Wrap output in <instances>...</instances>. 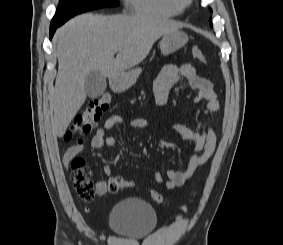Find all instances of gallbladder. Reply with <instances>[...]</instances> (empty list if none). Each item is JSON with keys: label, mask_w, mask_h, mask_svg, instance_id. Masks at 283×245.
Segmentation results:
<instances>
[{"label": "gallbladder", "mask_w": 283, "mask_h": 245, "mask_svg": "<svg viewBox=\"0 0 283 245\" xmlns=\"http://www.w3.org/2000/svg\"><path fill=\"white\" fill-rule=\"evenodd\" d=\"M106 77L99 71H91L85 79V91L88 97L98 98L106 89Z\"/></svg>", "instance_id": "bac80fb5"}]
</instances>
